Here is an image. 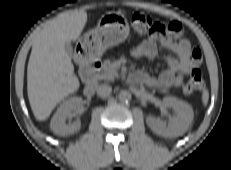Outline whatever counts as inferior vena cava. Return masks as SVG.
<instances>
[{
  "instance_id": "1",
  "label": "inferior vena cava",
  "mask_w": 231,
  "mask_h": 170,
  "mask_svg": "<svg viewBox=\"0 0 231 170\" xmlns=\"http://www.w3.org/2000/svg\"><path fill=\"white\" fill-rule=\"evenodd\" d=\"M112 92V87L106 84L100 85L97 89V94L100 97H108Z\"/></svg>"
}]
</instances>
